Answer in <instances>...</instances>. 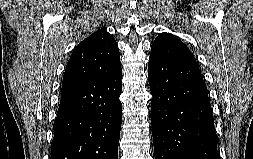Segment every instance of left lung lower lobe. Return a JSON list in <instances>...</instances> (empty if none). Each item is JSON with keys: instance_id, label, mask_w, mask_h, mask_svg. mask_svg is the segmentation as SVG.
Segmentation results:
<instances>
[{"instance_id": "left-lung-lower-lobe-1", "label": "left lung lower lobe", "mask_w": 253, "mask_h": 159, "mask_svg": "<svg viewBox=\"0 0 253 159\" xmlns=\"http://www.w3.org/2000/svg\"><path fill=\"white\" fill-rule=\"evenodd\" d=\"M148 80L155 159H221L197 63L150 56Z\"/></svg>"}]
</instances>
